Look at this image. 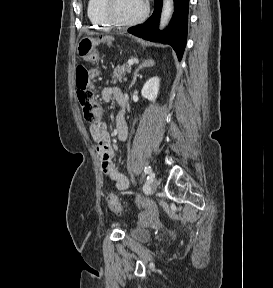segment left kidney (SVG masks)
Listing matches in <instances>:
<instances>
[{
  "label": "left kidney",
  "mask_w": 273,
  "mask_h": 288,
  "mask_svg": "<svg viewBox=\"0 0 273 288\" xmlns=\"http://www.w3.org/2000/svg\"><path fill=\"white\" fill-rule=\"evenodd\" d=\"M160 79L158 77H152L143 86L141 94L149 101H155L159 92Z\"/></svg>",
  "instance_id": "left-kidney-1"
}]
</instances>
